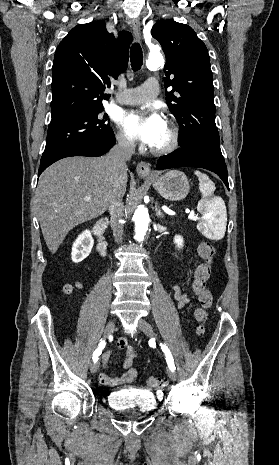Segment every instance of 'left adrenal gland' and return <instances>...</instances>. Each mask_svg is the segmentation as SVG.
<instances>
[{"mask_svg": "<svg viewBox=\"0 0 279 465\" xmlns=\"http://www.w3.org/2000/svg\"><path fill=\"white\" fill-rule=\"evenodd\" d=\"M155 212H156V216L158 218H163V213H162L161 209L158 207L157 203L155 205Z\"/></svg>", "mask_w": 279, "mask_h": 465, "instance_id": "obj_1", "label": "left adrenal gland"}]
</instances>
